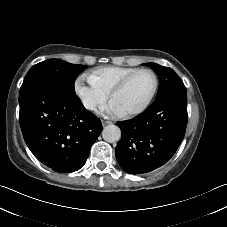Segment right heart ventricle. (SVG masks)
<instances>
[{"mask_svg":"<svg viewBox=\"0 0 227 227\" xmlns=\"http://www.w3.org/2000/svg\"><path fill=\"white\" fill-rule=\"evenodd\" d=\"M140 69L138 67H101L93 71L89 78L110 93L120 81Z\"/></svg>","mask_w":227,"mask_h":227,"instance_id":"e07e8e85","label":"right heart ventricle"}]
</instances>
